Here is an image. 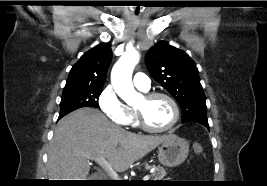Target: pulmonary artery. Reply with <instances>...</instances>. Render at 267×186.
Returning <instances> with one entry per match:
<instances>
[{"instance_id": "obj_1", "label": "pulmonary artery", "mask_w": 267, "mask_h": 186, "mask_svg": "<svg viewBox=\"0 0 267 186\" xmlns=\"http://www.w3.org/2000/svg\"><path fill=\"white\" fill-rule=\"evenodd\" d=\"M134 85L143 90L147 91L150 89V78L144 73H137L133 77Z\"/></svg>"}]
</instances>
